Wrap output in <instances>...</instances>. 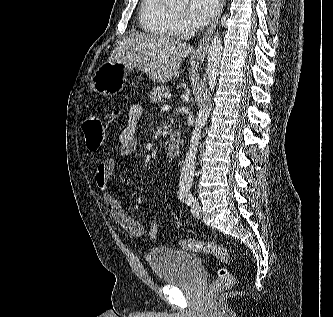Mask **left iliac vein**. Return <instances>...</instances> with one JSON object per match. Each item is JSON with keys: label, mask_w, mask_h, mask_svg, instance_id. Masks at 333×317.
Listing matches in <instances>:
<instances>
[{"label": "left iliac vein", "mask_w": 333, "mask_h": 317, "mask_svg": "<svg viewBox=\"0 0 333 317\" xmlns=\"http://www.w3.org/2000/svg\"><path fill=\"white\" fill-rule=\"evenodd\" d=\"M191 212H192L193 216H195L196 218L202 217L201 207H200L197 199H195L191 205Z\"/></svg>", "instance_id": "4c4485c4"}]
</instances>
